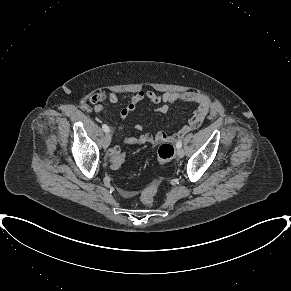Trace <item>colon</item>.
Returning a JSON list of instances; mask_svg holds the SVG:
<instances>
[{"instance_id": "1", "label": "colon", "mask_w": 291, "mask_h": 291, "mask_svg": "<svg viewBox=\"0 0 291 291\" xmlns=\"http://www.w3.org/2000/svg\"><path fill=\"white\" fill-rule=\"evenodd\" d=\"M175 154V148L173 144L165 142L160 145L158 149V160L160 163L169 162ZM125 161V153L121 150H114L109 153V164L113 169L120 168ZM159 186L156 183L149 185L141 194V202L144 205H151L158 192Z\"/></svg>"}]
</instances>
